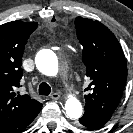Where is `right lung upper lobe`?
I'll use <instances>...</instances> for the list:
<instances>
[{
    "label": "right lung upper lobe",
    "mask_w": 133,
    "mask_h": 133,
    "mask_svg": "<svg viewBox=\"0 0 133 133\" xmlns=\"http://www.w3.org/2000/svg\"><path fill=\"white\" fill-rule=\"evenodd\" d=\"M36 22L12 21L0 25V127L15 130L42 108V104L17 90L23 76L21 59L24 46Z\"/></svg>",
    "instance_id": "obj_1"
}]
</instances>
